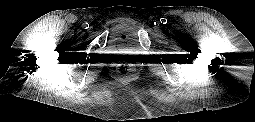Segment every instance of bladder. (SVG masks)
Segmentation results:
<instances>
[{
    "mask_svg": "<svg viewBox=\"0 0 255 122\" xmlns=\"http://www.w3.org/2000/svg\"><path fill=\"white\" fill-rule=\"evenodd\" d=\"M109 40L118 48L132 50L137 46L136 29L132 24L115 27L110 32Z\"/></svg>",
    "mask_w": 255,
    "mask_h": 122,
    "instance_id": "31cf9c89",
    "label": "bladder"
}]
</instances>
